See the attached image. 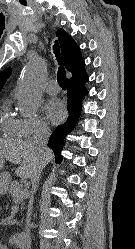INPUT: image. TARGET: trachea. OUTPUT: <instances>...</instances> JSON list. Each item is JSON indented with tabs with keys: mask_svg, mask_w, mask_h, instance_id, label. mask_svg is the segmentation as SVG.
Listing matches in <instances>:
<instances>
[{
	"mask_svg": "<svg viewBox=\"0 0 135 249\" xmlns=\"http://www.w3.org/2000/svg\"><path fill=\"white\" fill-rule=\"evenodd\" d=\"M53 50L56 56V60L59 64V69H58V83L59 85L66 89V71L65 68L63 66V61H62V57H61V53H60V47L58 42L56 41L54 46H53Z\"/></svg>",
	"mask_w": 135,
	"mask_h": 249,
	"instance_id": "obj_1",
	"label": "trachea"
}]
</instances>
